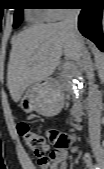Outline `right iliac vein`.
I'll list each match as a JSON object with an SVG mask.
<instances>
[{"mask_svg":"<svg viewBox=\"0 0 104 169\" xmlns=\"http://www.w3.org/2000/svg\"><path fill=\"white\" fill-rule=\"evenodd\" d=\"M92 149L100 169H104V150L99 144H93Z\"/></svg>","mask_w":104,"mask_h":169,"instance_id":"obj_1","label":"right iliac vein"}]
</instances>
